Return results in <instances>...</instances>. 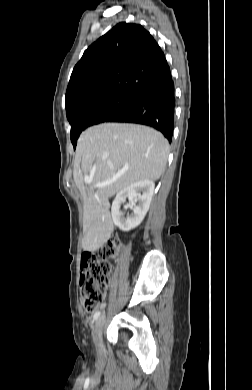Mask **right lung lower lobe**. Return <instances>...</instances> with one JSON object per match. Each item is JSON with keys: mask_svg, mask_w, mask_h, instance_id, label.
<instances>
[{"mask_svg": "<svg viewBox=\"0 0 252 390\" xmlns=\"http://www.w3.org/2000/svg\"><path fill=\"white\" fill-rule=\"evenodd\" d=\"M175 92L171 74L141 89L131 105L106 122H127L151 126L171 142L174 128Z\"/></svg>", "mask_w": 252, "mask_h": 390, "instance_id": "98d812e1", "label": "right lung lower lobe"}]
</instances>
